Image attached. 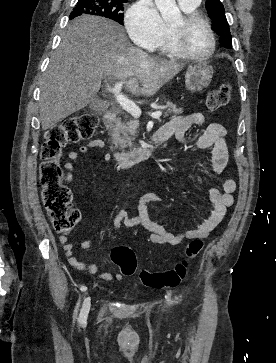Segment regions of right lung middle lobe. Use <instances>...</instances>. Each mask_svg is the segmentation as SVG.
<instances>
[{
  "mask_svg": "<svg viewBox=\"0 0 276 363\" xmlns=\"http://www.w3.org/2000/svg\"><path fill=\"white\" fill-rule=\"evenodd\" d=\"M127 1L118 0H78L70 19L82 14L102 16L123 24V13Z\"/></svg>",
  "mask_w": 276,
  "mask_h": 363,
  "instance_id": "obj_1",
  "label": "right lung middle lobe"
}]
</instances>
